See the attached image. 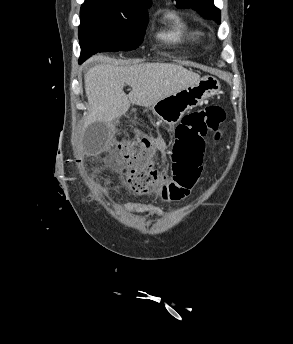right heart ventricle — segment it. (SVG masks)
Listing matches in <instances>:
<instances>
[{
    "label": "right heart ventricle",
    "mask_w": 293,
    "mask_h": 344,
    "mask_svg": "<svg viewBox=\"0 0 293 344\" xmlns=\"http://www.w3.org/2000/svg\"><path fill=\"white\" fill-rule=\"evenodd\" d=\"M168 25L159 37L169 43H192L202 38L203 33L177 13L171 12L165 16Z\"/></svg>",
    "instance_id": "obj_1"
}]
</instances>
